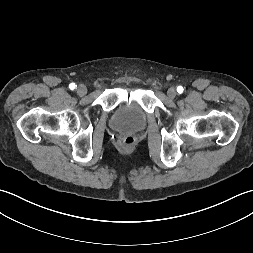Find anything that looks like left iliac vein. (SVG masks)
<instances>
[{"label":"left iliac vein","mask_w":253,"mask_h":253,"mask_svg":"<svg viewBox=\"0 0 253 253\" xmlns=\"http://www.w3.org/2000/svg\"><path fill=\"white\" fill-rule=\"evenodd\" d=\"M176 94H177V93H176V90H175V88H173V87L169 88L168 91H167V95H168V97L171 98V99L175 98V97H176Z\"/></svg>","instance_id":"obj_1"}]
</instances>
